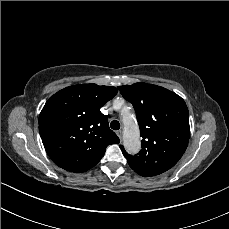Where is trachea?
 I'll return each instance as SVG.
<instances>
[{
	"mask_svg": "<svg viewBox=\"0 0 229 229\" xmlns=\"http://www.w3.org/2000/svg\"><path fill=\"white\" fill-rule=\"evenodd\" d=\"M110 127H111L113 130H118V129L120 128V123H119V121H117V120L111 121Z\"/></svg>",
	"mask_w": 229,
	"mask_h": 229,
	"instance_id": "trachea-1",
	"label": "trachea"
}]
</instances>
